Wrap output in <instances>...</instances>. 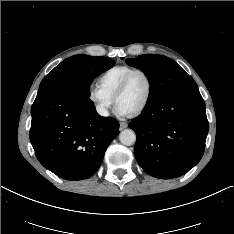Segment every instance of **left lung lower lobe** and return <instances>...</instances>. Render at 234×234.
I'll list each match as a JSON object with an SVG mask.
<instances>
[{
  "mask_svg": "<svg viewBox=\"0 0 234 234\" xmlns=\"http://www.w3.org/2000/svg\"><path fill=\"white\" fill-rule=\"evenodd\" d=\"M136 133L134 154L149 175L186 174L202 158L208 134L205 102L195 81L170 92L129 123Z\"/></svg>",
  "mask_w": 234,
  "mask_h": 234,
  "instance_id": "0a47b994",
  "label": "left lung lower lobe"
}]
</instances>
